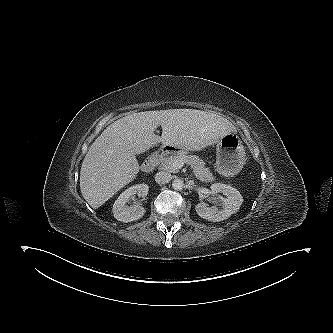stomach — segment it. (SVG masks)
I'll list each match as a JSON object with an SVG mask.
<instances>
[{"label": "stomach", "mask_w": 333, "mask_h": 333, "mask_svg": "<svg viewBox=\"0 0 333 333\" xmlns=\"http://www.w3.org/2000/svg\"><path fill=\"white\" fill-rule=\"evenodd\" d=\"M246 161L244 147L235 133H229L217 142L216 171L223 177H234Z\"/></svg>", "instance_id": "obj_1"}]
</instances>
